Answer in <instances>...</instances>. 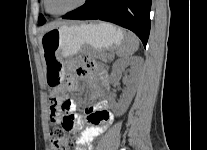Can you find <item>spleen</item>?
Listing matches in <instances>:
<instances>
[{
	"instance_id": "spleen-1",
	"label": "spleen",
	"mask_w": 207,
	"mask_h": 150,
	"mask_svg": "<svg viewBox=\"0 0 207 150\" xmlns=\"http://www.w3.org/2000/svg\"><path fill=\"white\" fill-rule=\"evenodd\" d=\"M124 37L123 43L117 49V55L128 58L138 50L139 40L132 32H125Z\"/></svg>"
}]
</instances>
